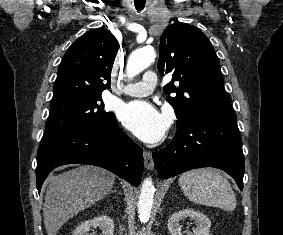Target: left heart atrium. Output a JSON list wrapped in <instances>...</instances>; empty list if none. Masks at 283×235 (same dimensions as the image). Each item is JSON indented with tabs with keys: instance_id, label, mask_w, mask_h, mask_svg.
I'll use <instances>...</instances> for the list:
<instances>
[{
	"instance_id": "left-heart-atrium-1",
	"label": "left heart atrium",
	"mask_w": 283,
	"mask_h": 235,
	"mask_svg": "<svg viewBox=\"0 0 283 235\" xmlns=\"http://www.w3.org/2000/svg\"><path fill=\"white\" fill-rule=\"evenodd\" d=\"M119 119L136 137L146 143L162 139L169 127L168 118L146 101H132L123 105Z\"/></svg>"
}]
</instances>
